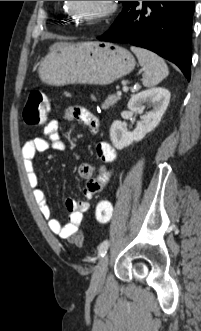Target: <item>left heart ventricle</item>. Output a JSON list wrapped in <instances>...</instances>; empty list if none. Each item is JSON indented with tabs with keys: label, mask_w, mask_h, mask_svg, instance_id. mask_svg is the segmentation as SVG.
<instances>
[{
	"label": "left heart ventricle",
	"mask_w": 201,
	"mask_h": 331,
	"mask_svg": "<svg viewBox=\"0 0 201 331\" xmlns=\"http://www.w3.org/2000/svg\"><path fill=\"white\" fill-rule=\"evenodd\" d=\"M106 1H72L74 11L85 17L93 16L103 10Z\"/></svg>",
	"instance_id": "b2bd125f"
}]
</instances>
